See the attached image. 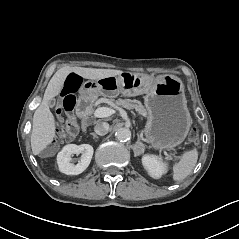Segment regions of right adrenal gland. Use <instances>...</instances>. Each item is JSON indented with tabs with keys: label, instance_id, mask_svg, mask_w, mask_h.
<instances>
[{
	"label": "right adrenal gland",
	"instance_id": "obj_1",
	"mask_svg": "<svg viewBox=\"0 0 239 239\" xmlns=\"http://www.w3.org/2000/svg\"><path fill=\"white\" fill-rule=\"evenodd\" d=\"M94 138H96V139H98L99 138V136H97V134L96 133H94V132H92V133H90Z\"/></svg>",
	"mask_w": 239,
	"mask_h": 239
}]
</instances>
